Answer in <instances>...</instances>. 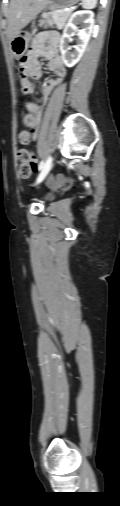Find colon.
I'll return each instance as SVG.
<instances>
[{
	"label": "colon",
	"mask_w": 120,
	"mask_h": 506,
	"mask_svg": "<svg viewBox=\"0 0 120 506\" xmlns=\"http://www.w3.org/2000/svg\"><path fill=\"white\" fill-rule=\"evenodd\" d=\"M26 72H27V62H26V59L23 58L19 63L20 77H23ZM33 119L34 118L31 113L25 114L24 118H23L24 123L27 126L32 125ZM32 139H33V135H32V131L30 129H24L19 134V141L23 145L29 144ZM18 160L20 163L19 169H18V173H19L20 177L28 178L29 176H31L32 172L37 167V160L33 156V154L25 148L20 149L18 151ZM68 181H69V178H67L63 175H60L56 179L51 180L50 185L57 186L63 182H68Z\"/></svg>",
	"instance_id": "1"
}]
</instances>
